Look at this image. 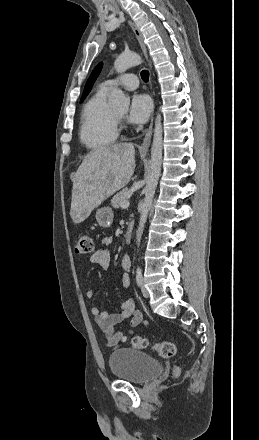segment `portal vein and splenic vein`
Instances as JSON below:
<instances>
[{
    "mask_svg": "<svg viewBox=\"0 0 259 440\" xmlns=\"http://www.w3.org/2000/svg\"><path fill=\"white\" fill-rule=\"evenodd\" d=\"M129 207V201H125L121 203V208H128Z\"/></svg>",
    "mask_w": 259,
    "mask_h": 440,
    "instance_id": "portal-vein-and-splenic-vein-1",
    "label": "portal vein and splenic vein"
}]
</instances>
